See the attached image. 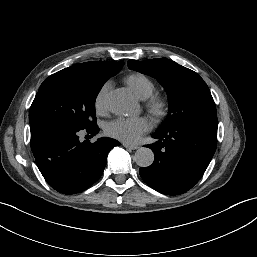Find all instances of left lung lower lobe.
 Here are the masks:
<instances>
[{
    "label": "left lung lower lobe",
    "mask_w": 257,
    "mask_h": 257,
    "mask_svg": "<svg viewBox=\"0 0 257 257\" xmlns=\"http://www.w3.org/2000/svg\"><path fill=\"white\" fill-rule=\"evenodd\" d=\"M217 115L196 117L156 131L147 145L154 152L152 165L140 168L142 179L156 191L178 195L191 189L208 167L217 145Z\"/></svg>",
    "instance_id": "1"
}]
</instances>
